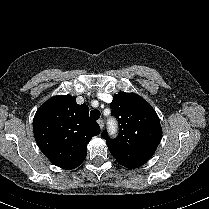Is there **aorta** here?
<instances>
[{"label":"aorta","mask_w":209,"mask_h":209,"mask_svg":"<svg viewBox=\"0 0 209 209\" xmlns=\"http://www.w3.org/2000/svg\"><path fill=\"white\" fill-rule=\"evenodd\" d=\"M108 129H109V132L111 134H114L116 129H117V126H116V123L115 122H109V126H108Z\"/></svg>","instance_id":"1"}]
</instances>
